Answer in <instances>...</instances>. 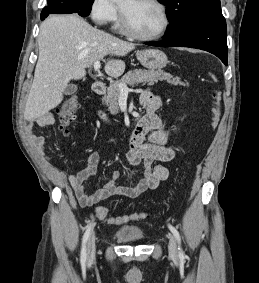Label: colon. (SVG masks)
<instances>
[{"mask_svg":"<svg viewBox=\"0 0 259 283\" xmlns=\"http://www.w3.org/2000/svg\"><path fill=\"white\" fill-rule=\"evenodd\" d=\"M212 98H213V106H212V115L210 120V126L212 128L216 127L219 115H220V109H219V103H220V94L217 90L212 91ZM80 108L78 97L73 95L68 97L62 104L61 108L58 111V120L60 123V129L63 131V133L68 132V128L70 127L72 120L76 113L78 112ZM97 216L102 221H108L111 224H120L125 223L133 219L142 218V215H135L131 217H120V218H112L109 215V212L107 208L101 207L97 211Z\"/></svg>","mask_w":259,"mask_h":283,"instance_id":"colon-1","label":"colon"}]
</instances>
